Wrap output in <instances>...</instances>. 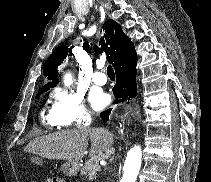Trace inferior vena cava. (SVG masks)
Here are the masks:
<instances>
[{"label":"inferior vena cava","mask_w":211,"mask_h":182,"mask_svg":"<svg viewBox=\"0 0 211 182\" xmlns=\"http://www.w3.org/2000/svg\"><path fill=\"white\" fill-rule=\"evenodd\" d=\"M90 120V116L86 114L83 118V123L80 125L83 131H92V126H87V122Z\"/></svg>","instance_id":"inferior-vena-cava-1"}]
</instances>
